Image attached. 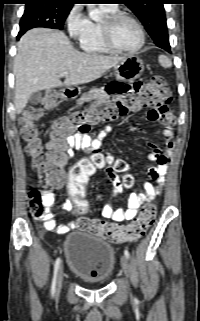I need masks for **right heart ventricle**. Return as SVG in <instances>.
<instances>
[{"mask_svg": "<svg viewBox=\"0 0 200 321\" xmlns=\"http://www.w3.org/2000/svg\"><path fill=\"white\" fill-rule=\"evenodd\" d=\"M107 13L117 12V7H102ZM80 48L90 54H109L111 51L104 44L102 33H101V23L90 21L89 28L85 33H83L79 38Z\"/></svg>", "mask_w": 200, "mask_h": 321, "instance_id": "e07e8e85", "label": "right heart ventricle"}]
</instances>
